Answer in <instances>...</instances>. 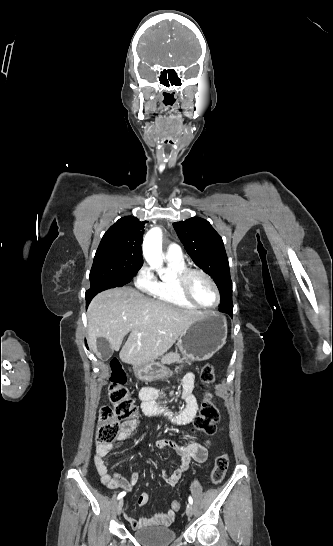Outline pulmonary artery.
Masks as SVG:
<instances>
[{
	"label": "pulmonary artery",
	"mask_w": 333,
	"mask_h": 546,
	"mask_svg": "<svg viewBox=\"0 0 333 546\" xmlns=\"http://www.w3.org/2000/svg\"><path fill=\"white\" fill-rule=\"evenodd\" d=\"M166 259L174 261H182L183 253L179 245L173 243L170 244L166 250Z\"/></svg>",
	"instance_id": "obj_1"
}]
</instances>
